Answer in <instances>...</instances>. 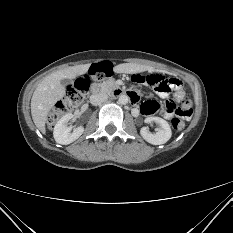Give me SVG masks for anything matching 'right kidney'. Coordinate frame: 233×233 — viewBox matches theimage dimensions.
I'll use <instances>...</instances> for the list:
<instances>
[{"mask_svg": "<svg viewBox=\"0 0 233 233\" xmlns=\"http://www.w3.org/2000/svg\"><path fill=\"white\" fill-rule=\"evenodd\" d=\"M74 118V115L68 113L64 115L55 125L53 136L57 143L67 145L78 139L84 132L82 126L73 129L69 126V121ZM72 131V132H71Z\"/></svg>", "mask_w": 233, "mask_h": 233, "instance_id": "right-kidney-1", "label": "right kidney"}]
</instances>
